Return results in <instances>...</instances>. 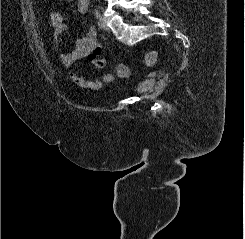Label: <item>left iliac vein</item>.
Listing matches in <instances>:
<instances>
[{"label":"left iliac vein","mask_w":245,"mask_h":239,"mask_svg":"<svg viewBox=\"0 0 245 239\" xmlns=\"http://www.w3.org/2000/svg\"><path fill=\"white\" fill-rule=\"evenodd\" d=\"M99 26L101 27V29H103L104 31H107L109 28H108V25H107V22L106 20L103 18V17H100L99 18Z\"/></svg>","instance_id":"left-iliac-vein-1"}]
</instances>
